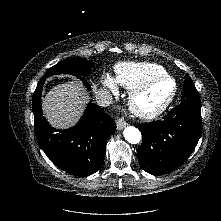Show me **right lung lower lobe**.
I'll use <instances>...</instances> for the list:
<instances>
[{"instance_id":"1","label":"right lung lower lobe","mask_w":221,"mask_h":221,"mask_svg":"<svg viewBox=\"0 0 221 221\" xmlns=\"http://www.w3.org/2000/svg\"><path fill=\"white\" fill-rule=\"evenodd\" d=\"M79 79L89 88L82 77ZM44 81L37 84L33 95L34 127L40 147L56 166L69 174L82 177L95 173L104 161L107 140L116 129L114 120L101 107L90 103L73 128H51L41 110Z\"/></svg>"}]
</instances>
